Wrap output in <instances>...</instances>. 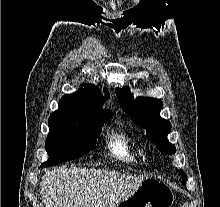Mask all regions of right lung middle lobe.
<instances>
[{
	"label": "right lung middle lobe",
	"mask_w": 220,
	"mask_h": 207,
	"mask_svg": "<svg viewBox=\"0 0 220 207\" xmlns=\"http://www.w3.org/2000/svg\"><path fill=\"white\" fill-rule=\"evenodd\" d=\"M104 122L80 111L72 103L60 101L58 110L51 113L48 120L45 149L49 159L41 166H54L91 151L96 146Z\"/></svg>",
	"instance_id": "right-lung-middle-lobe-1"
}]
</instances>
